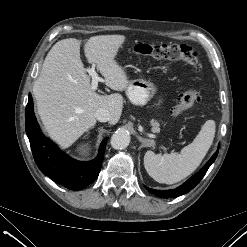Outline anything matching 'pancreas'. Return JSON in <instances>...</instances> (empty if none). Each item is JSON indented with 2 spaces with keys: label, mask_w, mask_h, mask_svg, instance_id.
<instances>
[{
  "label": "pancreas",
  "mask_w": 247,
  "mask_h": 247,
  "mask_svg": "<svg viewBox=\"0 0 247 247\" xmlns=\"http://www.w3.org/2000/svg\"><path fill=\"white\" fill-rule=\"evenodd\" d=\"M151 123H152V126L154 128V131H158L159 130V123L156 121H152Z\"/></svg>",
  "instance_id": "obj_1"
}]
</instances>
